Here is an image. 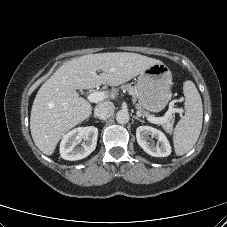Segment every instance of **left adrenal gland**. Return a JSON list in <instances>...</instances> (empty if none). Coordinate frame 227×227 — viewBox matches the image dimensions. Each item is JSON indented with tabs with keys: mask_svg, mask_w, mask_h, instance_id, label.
<instances>
[{
	"mask_svg": "<svg viewBox=\"0 0 227 227\" xmlns=\"http://www.w3.org/2000/svg\"><path fill=\"white\" fill-rule=\"evenodd\" d=\"M133 117H134L136 120H138V121L144 123V120L140 119L138 116H133Z\"/></svg>",
	"mask_w": 227,
	"mask_h": 227,
	"instance_id": "obj_1",
	"label": "left adrenal gland"
}]
</instances>
